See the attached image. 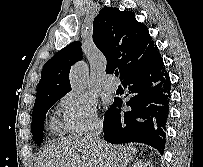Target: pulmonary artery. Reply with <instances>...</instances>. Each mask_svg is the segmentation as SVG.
<instances>
[{"instance_id":"e3ab8cb5","label":"pulmonary artery","mask_w":203,"mask_h":167,"mask_svg":"<svg viewBox=\"0 0 203 167\" xmlns=\"http://www.w3.org/2000/svg\"><path fill=\"white\" fill-rule=\"evenodd\" d=\"M117 87L118 84L115 81L114 77L112 75L107 76V78L104 81V88L111 92H114L116 91Z\"/></svg>"}]
</instances>
